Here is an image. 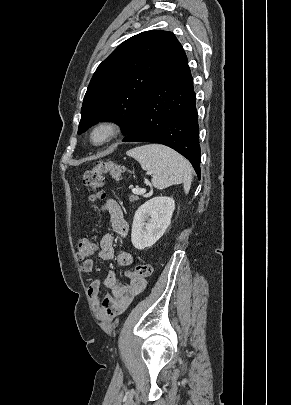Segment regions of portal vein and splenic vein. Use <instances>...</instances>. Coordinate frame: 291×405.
Here are the masks:
<instances>
[{"mask_svg":"<svg viewBox=\"0 0 291 405\" xmlns=\"http://www.w3.org/2000/svg\"><path fill=\"white\" fill-rule=\"evenodd\" d=\"M132 192L137 195H143L146 192L144 188H133Z\"/></svg>","mask_w":291,"mask_h":405,"instance_id":"1","label":"portal vein and splenic vein"}]
</instances>
